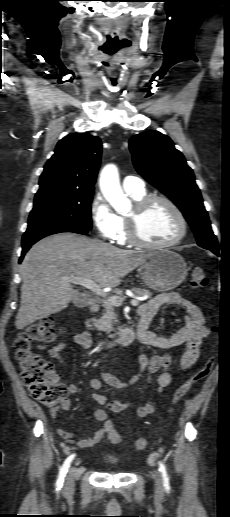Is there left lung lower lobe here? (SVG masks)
I'll return each instance as SVG.
<instances>
[{"instance_id":"obj_1","label":"left lung lower lobe","mask_w":230,"mask_h":517,"mask_svg":"<svg viewBox=\"0 0 230 517\" xmlns=\"http://www.w3.org/2000/svg\"><path fill=\"white\" fill-rule=\"evenodd\" d=\"M213 253H215L216 255H219V249H212L211 250Z\"/></svg>"}]
</instances>
